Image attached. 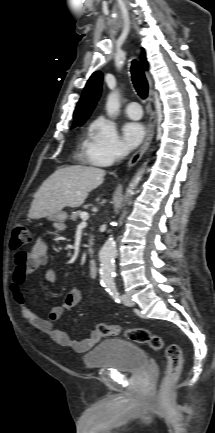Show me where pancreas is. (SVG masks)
Segmentation results:
<instances>
[{
  "label": "pancreas",
  "instance_id": "obj_1",
  "mask_svg": "<svg viewBox=\"0 0 215 433\" xmlns=\"http://www.w3.org/2000/svg\"><path fill=\"white\" fill-rule=\"evenodd\" d=\"M82 213H83L82 211L73 212L72 215L70 216V220L76 221L77 218L81 216ZM90 252L92 253V250H90Z\"/></svg>",
  "mask_w": 215,
  "mask_h": 433
}]
</instances>
